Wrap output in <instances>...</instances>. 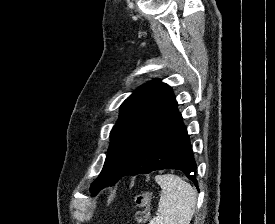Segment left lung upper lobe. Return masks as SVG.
<instances>
[{
    "label": "left lung upper lobe",
    "mask_w": 275,
    "mask_h": 224,
    "mask_svg": "<svg viewBox=\"0 0 275 224\" xmlns=\"http://www.w3.org/2000/svg\"><path fill=\"white\" fill-rule=\"evenodd\" d=\"M177 107L171 88L160 80L139 87L121 105L110 133L104 167L91 193L107 178L120 179L157 126Z\"/></svg>",
    "instance_id": "1"
}]
</instances>
